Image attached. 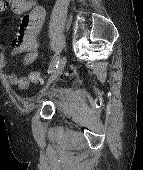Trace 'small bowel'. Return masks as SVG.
Instances as JSON below:
<instances>
[{"label":"small bowel","mask_w":143,"mask_h":170,"mask_svg":"<svg viewBox=\"0 0 143 170\" xmlns=\"http://www.w3.org/2000/svg\"><path fill=\"white\" fill-rule=\"evenodd\" d=\"M7 11L22 17L12 40V54H23L22 64L29 66L38 57L37 37L42 29L46 10L32 0H0V13ZM6 65L7 58L0 51V68H4ZM5 79L9 84L21 89H26L29 85L27 78L19 77L15 73H7Z\"/></svg>","instance_id":"small-bowel-1"}]
</instances>
